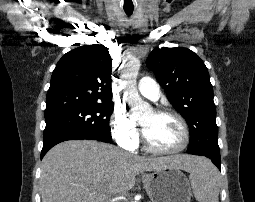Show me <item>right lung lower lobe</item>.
<instances>
[{"instance_id": "1", "label": "right lung lower lobe", "mask_w": 255, "mask_h": 202, "mask_svg": "<svg viewBox=\"0 0 255 202\" xmlns=\"http://www.w3.org/2000/svg\"><path fill=\"white\" fill-rule=\"evenodd\" d=\"M96 140L95 138L78 131L64 130V131H55L43 136V148L41 151V158L51 149L54 145L67 141V140Z\"/></svg>"}]
</instances>
